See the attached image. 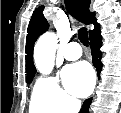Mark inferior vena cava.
Listing matches in <instances>:
<instances>
[{
    "instance_id": "inferior-vena-cava-1",
    "label": "inferior vena cava",
    "mask_w": 121,
    "mask_h": 113,
    "mask_svg": "<svg viewBox=\"0 0 121 113\" xmlns=\"http://www.w3.org/2000/svg\"><path fill=\"white\" fill-rule=\"evenodd\" d=\"M80 108H81V102L78 100H75L72 102L70 113H78Z\"/></svg>"
}]
</instances>
